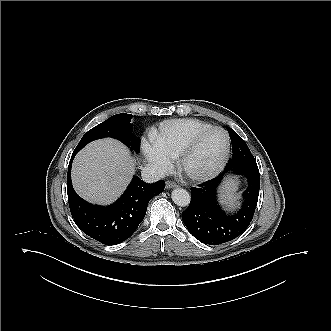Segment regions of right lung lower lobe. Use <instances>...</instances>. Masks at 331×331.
Here are the masks:
<instances>
[{
	"label": "right lung lower lobe",
	"mask_w": 331,
	"mask_h": 331,
	"mask_svg": "<svg viewBox=\"0 0 331 331\" xmlns=\"http://www.w3.org/2000/svg\"><path fill=\"white\" fill-rule=\"evenodd\" d=\"M78 151L75 149L68 167L67 192L69 207L77 226L91 238L115 245L128 239L144 219L149 200L165 188L164 181L148 184L134 176L123 195L109 206L92 205L74 191L71 166Z\"/></svg>",
	"instance_id": "right-lung-lower-lobe-1"
}]
</instances>
